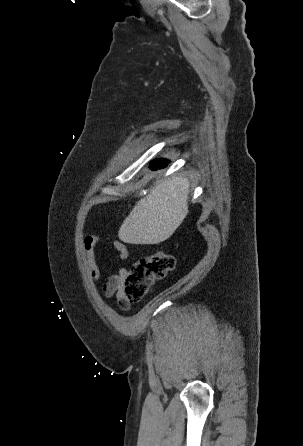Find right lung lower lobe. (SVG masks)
<instances>
[{
	"label": "right lung lower lobe",
	"mask_w": 303,
	"mask_h": 446,
	"mask_svg": "<svg viewBox=\"0 0 303 446\" xmlns=\"http://www.w3.org/2000/svg\"><path fill=\"white\" fill-rule=\"evenodd\" d=\"M168 161L166 159L164 160H156L152 163L151 168L153 170L165 167L167 165Z\"/></svg>",
	"instance_id": "right-lung-lower-lobe-1"
}]
</instances>
